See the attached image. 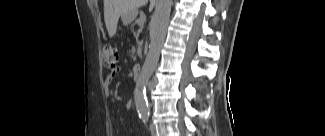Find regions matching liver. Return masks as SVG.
Segmentation results:
<instances>
[{"label": "liver", "mask_w": 325, "mask_h": 136, "mask_svg": "<svg viewBox=\"0 0 325 136\" xmlns=\"http://www.w3.org/2000/svg\"><path fill=\"white\" fill-rule=\"evenodd\" d=\"M147 2L148 0H104V20L109 36L115 35L120 16L131 12L138 13V7Z\"/></svg>", "instance_id": "1"}]
</instances>
